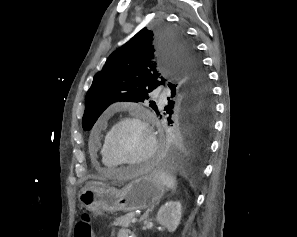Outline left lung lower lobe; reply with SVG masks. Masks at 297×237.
<instances>
[{"instance_id":"left-lung-lower-lobe-1","label":"left lung lower lobe","mask_w":297,"mask_h":237,"mask_svg":"<svg viewBox=\"0 0 297 237\" xmlns=\"http://www.w3.org/2000/svg\"><path fill=\"white\" fill-rule=\"evenodd\" d=\"M171 96L174 97L175 94L171 93ZM164 111L170 115L175 112L177 123L166 134L159 153L161 163L176 168L199 166L207 152L213 129L212 100L198 107L191 103L177 104L174 100H168ZM168 120L173 123L170 118Z\"/></svg>"}]
</instances>
